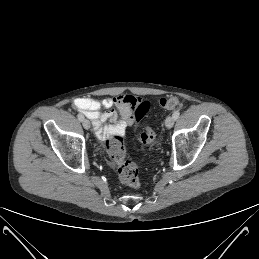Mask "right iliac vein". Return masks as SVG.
<instances>
[{
	"mask_svg": "<svg viewBox=\"0 0 259 259\" xmlns=\"http://www.w3.org/2000/svg\"><path fill=\"white\" fill-rule=\"evenodd\" d=\"M90 122H89V120H87V119H84L83 120V127L86 129V130H88V129H90Z\"/></svg>",
	"mask_w": 259,
	"mask_h": 259,
	"instance_id": "63e3f726",
	"label": "right iliac vein"
}]
</instances>
